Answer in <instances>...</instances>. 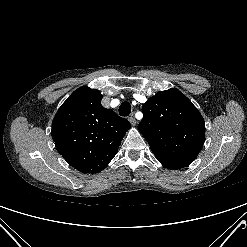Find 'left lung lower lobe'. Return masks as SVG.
<instances>
[{
	"instance_id": "obj_1",
	"label": "left lung lower lobe",
	"mask_w": 247,
	"mask_h": 247,
	"mask_svg": "<svg viewBox=\"0 0 247 247\" xmlns=\"http://www.w3.org/2000/svg\"><path fill=\"white\" fill-rule=\"evenodd\" d=\"M166 168H169V169H172V170L179 169V168H174V167H166Z\"/></svg>"
}]
</instances>
